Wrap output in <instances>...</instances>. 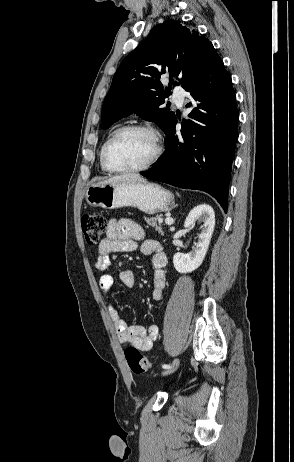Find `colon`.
<instances>
[{
  "label": "colon",
  "instance_id": "colon-1",
  "mask_svg": "<svg viewBox=\"0 0 294 462\" xmlns=\"http://www.w3.org/2000/svg\"><path fill=\"white\" fill-rule=\"evenodd\" d=\"M82 230L88 244L95 245L106 229V220L100 215H86L81 220ZM125 357L130 369L136 374H143L150 368L149 360L136 348L127 347Z\"/></svg>",
  "mask_w": 294,
  "mask_h": 462
}]
</instances>
